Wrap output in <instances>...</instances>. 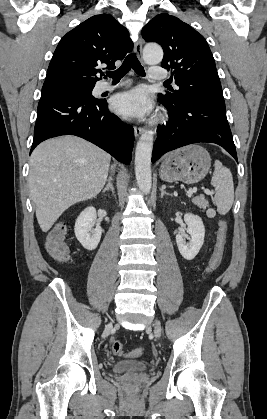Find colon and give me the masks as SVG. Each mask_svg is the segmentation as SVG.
I'll return each instance as SVG.
<instances>
[{"label": "colon", "mask_w": 267, "mask_h": 419, "mask_svg": "<svg viewBox=\"0 0 267 419\" xmlns=\"http://www.w3.org/2000/svg\"><path fill=\"white\" fill-rule=\"evenodd\" d=\"M66 233V223L59 222L50 230L45 242L46 250L49 255L56 261L62 263H66L70 260V249L65 241ZM226 235L227 223L224 220H221L218 225L214 251L206 268L207 275L215 272L221 263L226 243ZM111 350L115 355H122L124 353L123 344L120 341H114L111 345ZM142 353V348H136L131 350L128 355L135 357L141 355Z\"/></svg>", "instance_id": "5ec220e1"}]
</instances>
